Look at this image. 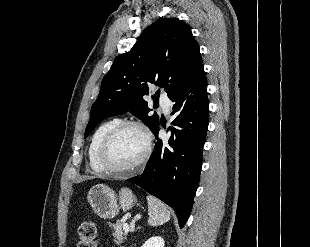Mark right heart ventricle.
Wrapping results in <instances>:
<instances>
[{
  "instance_id": "1",
  "label": "right heart ventricle",
  "mask_w": 310,
  "mask_h": 247,
  "mask_svg": "<svg viewBox=\"0 0 310 247\" xmlns=\"http://www.w3.org/2000/svg\"><path fill=\"white\" fill-rule=\"evenodd\" d=\"M120 119L118 118H111L105 122H103L101 125L97 127L95 132L93 133L89 147H88V159H89V165L92 168V170L96 173H103L105 170L102 168V166L98 162L97 154L98 149L100 146L101 141L105 137V135L108 133V131L113 128Z\"/></svg>"
}]
</instances>
